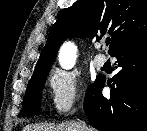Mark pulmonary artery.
<instances>
[{
  "instance_id": "e3ab8cb5",
  "label": "pulmonary artery",
  "mask_w": 147,
  "mask_h": 131,
  "mask_svg": "<svg viewBox=\"0 0 147 131\" xmlns=\"http://www.w3.org/2000/svg\"><path fill=\"white\" fill-rule=\"evenodd\" d=\"M101 43L98 45V47H101ZM106 57L105 55L103 54H97L95 57H94V65L97 67V68H101L104 66L105 62H106Z\"/></svg>"
}]
</instances>
